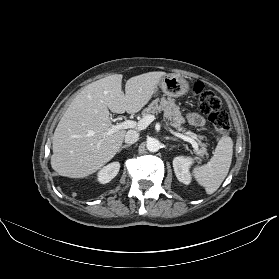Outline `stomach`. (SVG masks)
<instances>
[{
  "label": "stomach",
  "mask_w": 279,
  "mask_h": 279,
  "mask_svg": "<svg viewBox=\"0 0 279 279\" xmlns=\"http://www.w3.org/2000/svg\"><path fill=\"white\" fill-rule=\"evenodd\" d=\"M169 97H180L189 90L188 82L180 75L167 74L159 82L158 87Z\"/></svg>",
  "instance_id": "obj_1"
}]
</instances>
